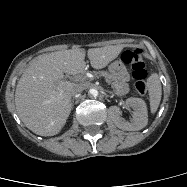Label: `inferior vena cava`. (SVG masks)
<instances>
[{
  "mask_svg": "<svg viewBox=\"0 0 187 187\" xmlns=\"http://www.w3.org/2000/svg\"><path fill=\"white\" fill-rule=\"evenodd\" d=\"M84 87L82 84H74L73 88L71 89V96H75L81 91H83Z\"/></svg>",
  "mask_w": 187,
  "mask_h": 187,
  "instance_id": "602c4592",
  "label": "inferior vena cava"
}]
</instances>
